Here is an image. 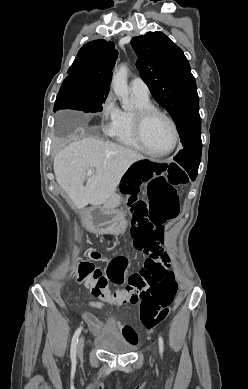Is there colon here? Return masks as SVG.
<instances>
[{
    "instance_id": "5ec220e1",
    "label": "colon",
    "mask_w": 248,
    "mask_h": 389,
    "mask_svg": "<svg viewBox=\"0 0 248 389\" xmlns=\"http://www.w3.org/2000/svg\"><path fill=\"white\" fill-rule=\"evenodd\" d=\"M142 182L149 185L148 199L137 200L136 193L142 192ZM186 182V173L177 161H151L150 157H139L132 161L122 176V192L127 200L134 203L130 211L135 213L132 222L131 238L136 251L147 256L144 265L126 276L129 259L118 256L112 259L107 268L108 278L117 283H127L122 292L107 289V277L92 262H83L78 267L82 285L95 296L115 304L136 303L140 300V322L151 329L163 322L170 313L176 297L178 284L169 269L168 255L162 250L165 223L177 217L179 203L176 187ZM137 192H133L134 187ZM129 192H133V196ZM120 196L121 200L125 199ZM91 258L99 260L98 253Z\"/></svg>"
}]
</instances>
